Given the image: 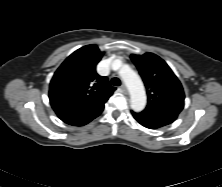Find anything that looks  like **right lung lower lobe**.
I'll list each match as a JSON object with an SVG mask.
<instances>
[{"label":"right lung lower lobe","mask_w":222,"mask_h":187,"mask_svg":"<svg viewBox=\"0 0 222 187\" xmlns=\"http://www.w3.org/2000/svg\"><path fill=\"white\" fill-rule=\"evenodd\" d=\"M99 114L94 115L92 117H88V118H81V119H69V120H63L65 123L69 124V125H73V126H83L87 123H89L91 120H93L94 118H96Z\"/></svg>","instance_id":"98d812e1"}]
</instances>
